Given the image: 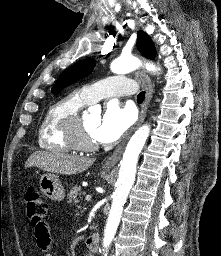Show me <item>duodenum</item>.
Instances as JSON below:
<instances>
[{"instance_id": "410a0bca", "label": "duodenum", "mask_w": 221, "mask_h": 256, "mask_svg": "<svg viewBox=\"0 0 221 256\" xmlns=\"http://www.w3.org/2000/svg\"><path fill=\"white\" fill-rule=\"evenodd\" d=\"M98 245H99V236L98 234L94 233L92 235H90L87 239H86V247L90 250V252H92L93 254H95L97 252L98 249Z\"/></svg>"}]
</instances>
